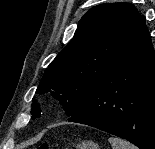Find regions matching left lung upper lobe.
<instances>
[{
	"instance_id": "obj_1",
	"label": "left lung upper lobe",
	"mask_w": 155,
	"mask_h": 149,
	"mask_svg": "<svg viewBox=\"0 0 155 149\" xmlns=\"http://www.w3.org/2000/svg\"><path fill=\"white\" fill-rule=\"evenodd\" d=\"M143 17L129 3H108L90 9L79 21L72 40L46 69L36 94L52 96L71 117ZM33 101L31 118L35 119L41 111Z\"/></svg>"
}]
</instances>
